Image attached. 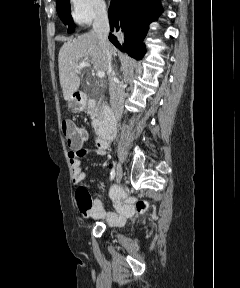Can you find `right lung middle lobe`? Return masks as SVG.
<instances>
[{"mask_svg": "<svg viewBox=\"0 0 240 288\" xmlns=\"http://www.w3.org/2000/svg\"><path fill=\"white\" fill-rule=\"evenodd\" d=\"M56 7L61 20L69 24L68 32L73 31V19L70 15V0H57Z\"/></svg>", "mask_w": 240, "mask_h": 288, "instance_id": "1", "label": "right lung middle lobe"}]
</instances>
